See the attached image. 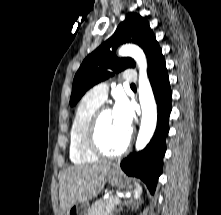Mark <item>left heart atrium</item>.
<instances>
[{
  "label": "left heart atrium",
  "instance_id": "1",
  "mask_svg": "<svg viewBox=\"0 0 221 215\" xmlns=\"http://www.w3.org/2000/svg\"><path fill=\"white\" fill-rule=\"evenodd\" d=\"M112 112L118 126L124 132L130 134L134 118L130 102L123 96L118 97Z\"/></svg>",
  "mask_w": 221,
  "mask_h": 215
}]
</instances>
